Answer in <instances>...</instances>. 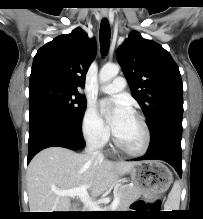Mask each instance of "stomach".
Returning a JSON list of instances; mask_svg holds the SVG:
<instances>
[{
    "instance_id": "0dacf381",
    "label": "stomach",
    "mask_w": 203,
    "mask_h": 219,
    "mask_svg": "<svg viewBox=\"0 0 203 219\" xmlns=\"http://www.w3.org/2000/svg\"><path fill=\"white\" fill-rule=\"evenodd\" d=\"M129 173L140 195L151 200L165 193L173 181L172 173L160 161L136 162Z\"/></svg>"
}]
</instances>
